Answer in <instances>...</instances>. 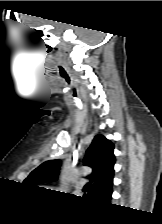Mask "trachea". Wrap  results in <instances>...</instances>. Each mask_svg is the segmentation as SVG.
Listing matches in <instances>:
<instances>
[{"label": "trachea", "mask_w": 162, "mask_h": 224, "mask_svg": "<svg viewBox=\"0 0 162 224\" xmlns=\"http://www.w3.org/2000/svg\"><path fill=\"white\" fill-rule=\"evenodd\" d=\"M88 190V185H85L83 191L86 192Z\"/></svg>", "instance_id": "trachea-1"}]
</instances>
